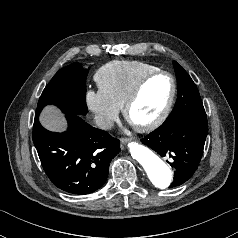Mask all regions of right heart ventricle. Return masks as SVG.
Segmentation results:
<instances>
[{
	"label": "right heart ventricle",
	"mask_w": 238,
	"mask_h": 238,
	"mask_svg": "<svg viewBox=\"0 0 238 238\" xmlns=\"http://www.w3.org/2000/svg\"><path fill=\"white\" fill-rule=\"evenodd\" d=\"M158 68L141 61H111L94 76L99 91L115 106L122 108L141 78Z\"/></svg>",
	"instance_id": "e07e8e85"
}]
</instances>
